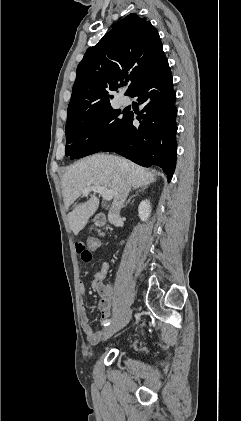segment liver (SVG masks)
Segmentation results:
<instances>
[{
    "label": "liver",
    "mask_w": 241,
    "mask_h": 421,
    "mask_svg": "<svg viewBox=\"0 0 241 421\" xmlns=\"http://www.w3.org/2000/svg\"><path fill=\"white\" fill-rule=\"evenodd\" d=\"M156 172H149L137 164L108 154H94L70 166L62 178V195L68 210L71 230L77 235L99 207V199L92 195L83 203H75L82 190L89 186H103L113 191L114 199L120 194L125 181L133 188H139L156 180Z\"/></svg>",
    "instance_id": "6515ba94"
}]
</instances>
